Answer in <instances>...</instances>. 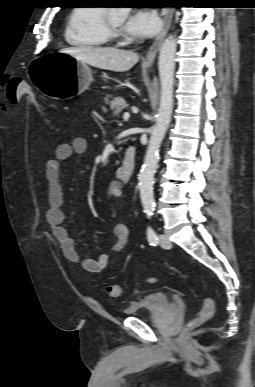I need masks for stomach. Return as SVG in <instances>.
Returning a JSON list of instances; mask_svg holds the SVG:
<instances>
[{"label": "stomach", "instance_id": "stomach-1", "mask_svg": "<svg viewBox=\"0 0 255 387\" xmlns=\"http://www.w3.org/2000/svg\"><path fill=\"white\" fill-rule=\"evenodd\" d=\"M43 55H35L27 75V82H35L38 91L47 99H70L76 92L88 88L92 71L86 63L58 52V46H42Z\"/></svg>", "mask_w": 255, "mask_h": 387}]
</instances>
